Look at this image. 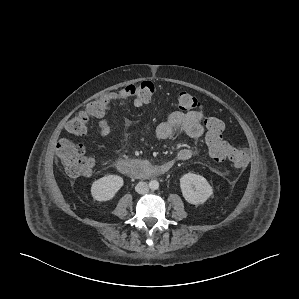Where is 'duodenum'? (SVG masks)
Instances as JSON below:
<instances>
[{
	"label": "duodenum",
	"instance_id": "1",
	"mask_svg": "<svg viewBox=\"0 0 299 299\" xmlns=\"http://www.w3.org/2000/svg\"><path fill=\"white\" fill-rule=\"evenodd\" d=\"M116 167L121 174L135 178L155 177L167 172L164 167L141 159H122L117 162Z\"/></svg>",
	"mask_w": 299,
	"mask_h": 299
}]
</instances>
